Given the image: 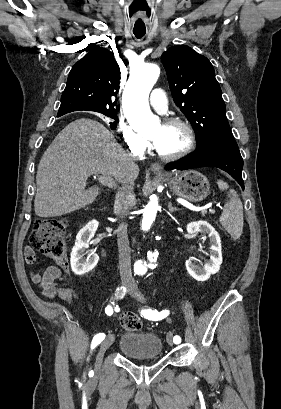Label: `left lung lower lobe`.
Instances as JSON below:
<instances>
[{
	"label": "left lung lower lobe",
	"mask_w": 281,
	"mask_h": 409,
	"mask_svg": "<svg viewBox=\"0 0 281 409\" xmlns=\"http://www.w3.org/2000/svg\"><path fill=\"white\" fill-rule=\"evenodd\" d=\"M197 167H218L228 172L244 190L243 159L238 147L203 145L180 161L168 164L166 170H186Z\"/></svg>",
	"instance_id": "0a47b994"
}]
</instances>
